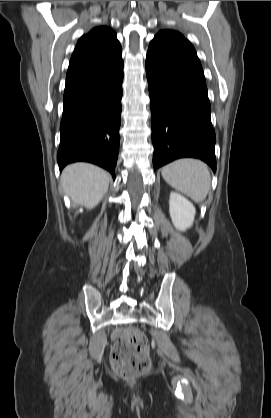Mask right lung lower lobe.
Segmentation results:
<instances>
[{
    "label": "right lung lower lobe",
    "mask_w": 271,
    "mask_h": 418,
    "mask_svg": "<svg viewBox=\"0 0 271 418\" xmlns=\"http://www.w3.org/2000/svg\"><path fill=\"white\" fill-rule=\"evenodd\" d=\"M123 61L92 83L64 96L57 161L60 170L87 161L115 175L119 152Z\"/></svg>",
    "instance_id": "98d812e1"
}]
</instances>
